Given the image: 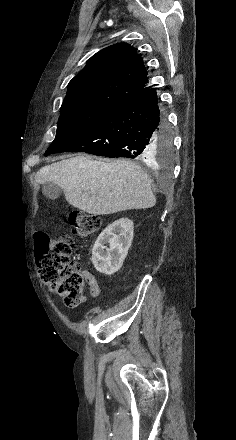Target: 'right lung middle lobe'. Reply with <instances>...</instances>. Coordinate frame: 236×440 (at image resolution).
<instances>
[{
	"label": "right lung middle lobe",
	"instance_id": "1",
	"mask_svg": "<svg viewBox=\"0 0 236 440\" xmlns=\"http://www.w3.org/2000/svg\"><path fill=\"white\" fill-rule=\"evenodd\" d=\"M114 108L115 106L112 105L87 101L62 104L56 137L48 150L59 147L87 130ZM155 144L157 146L156 159L161 163L167 162L172 155V139L168 132L164 131L156 139Z\"/></svg>",
	"mask_w": 236,
	"mask_h": 440
}]
</instances>
